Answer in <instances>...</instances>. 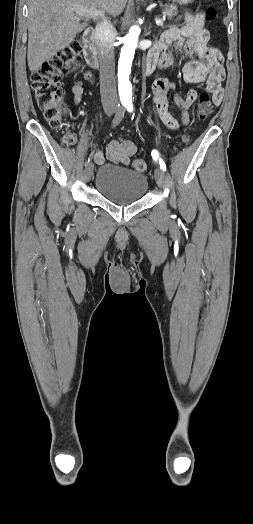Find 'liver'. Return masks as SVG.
<instances>
[{
    "label": "liver",
    "instance_id": "obj_1",
    "mask_svg": "<svg viewBox=\"0 0 253 524\" xmlns=\"http://www.w3.org/2000/svg\"><path fill=\"white\" fill-rule=\"evenodd\" d=\"M126 3L127 0H29L27 60L30 71L38 70L88 26L90 17L78 15L74 7L116 17Z\"/></svg>",
    "mask_w": 253,
    "mask_h": 524
}]
</instances>
